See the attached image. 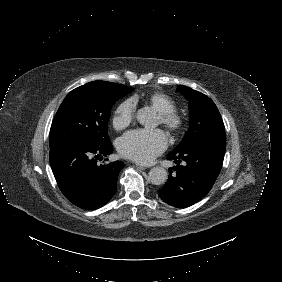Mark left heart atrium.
<instances>
[{"mask_svg": "<svg viewBox=\"0 0 282 282\" xmlns=\"http://www.w3.org/2000/svg\"><path fill=\"white\" fill-rule=\"evenodd\" d=\"M120 153L138 163H149L166 147V139L159 130L130 131L118 142Z\"/></svg>", "mask_w": 282, "mask_h": 282, "instance_id": "obj_1", "label": "left heart atrium"}]
</instances>
